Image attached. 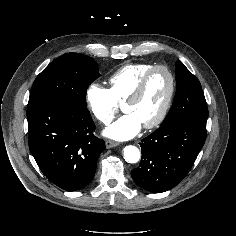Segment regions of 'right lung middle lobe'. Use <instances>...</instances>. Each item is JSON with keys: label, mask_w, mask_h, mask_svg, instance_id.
<instances>
[{"label": "right lung middle lobe", "mask_w": 236, "mask_h": 236, "mask_svg": "<svg viewBox=\"0 0 236 236\" xmlns=\"http://www.w3.org/2000/svg\"><path fill=\"white\" fill-rule=\"evenodd\" d=\"M100 76L97 63L79 53L51 62L35 79L28 107L50 104L87 109L86 90Z\"/></svg>", "instance_id": "dd1d6c3e"}]
</instances>
